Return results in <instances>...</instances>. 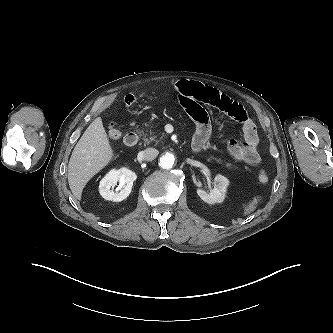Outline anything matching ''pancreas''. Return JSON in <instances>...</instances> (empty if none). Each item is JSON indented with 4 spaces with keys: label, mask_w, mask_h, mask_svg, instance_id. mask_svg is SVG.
I'll list each match as a JSON object with an SVG mask.
<instances>
[{
    "label": "pancreas",
    "mask_w": 333,
    "mask_h": 333,
    "mask_svg": "<svg viewBox=\"0 0 333 333\" xmlns=\"http://www.w3.org/2000/svg\"><path fill=\"white\" fill-rule=\"evenodd\" d=\"M137 132L142 133V135H143V138H142V139H143L144 143L149 144V143H151V142H153V141H155L156 143L158 142V141L156 140L157 135H155V133H154L153 131H151V130H150V132H149L150 137H148V135L145 134L143 131L137 130Z\"/></svg>",
    "instance_id": "1"
}]
</instances>
